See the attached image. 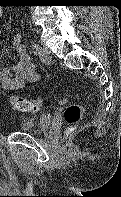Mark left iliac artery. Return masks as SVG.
<instances>
[{"instance_id": "obj_1", "label": "left iliac artery", "mask_w": 121, "mask_h": 197, "mask_svg": "<svg viewBox=\"0 0 121 197\" xmlns=\"http://www.w3.org/2000/svg\"><path fill=\"white\" fill-rule=\"evenodd\" d=\"M40 49V46L37 43H32V51L34 54H37Z\"/></svg>"}]
</instances>
